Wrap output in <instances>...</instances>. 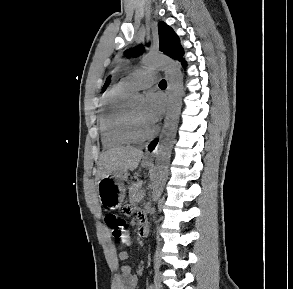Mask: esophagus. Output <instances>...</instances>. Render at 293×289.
<instances>
[{"mask_svg":"<svg viewBox=\"0 0 293 289\" xmlns=\"http://www.w3.org/2000/svg\"><path fill=\"white\" fill-rule=\"evenodd\" d=\"M161 139H162V135L158 136L155 140H153L152 142H150L146 146V152H145V156H144L145 161H153L154 160V156H155V153L159 147Z\"/></svg>","mask_w":293,"mask_h":289,"instance_id":"obj_1","label":"esophagus"}]
</instances>
